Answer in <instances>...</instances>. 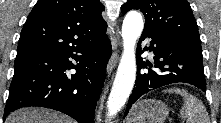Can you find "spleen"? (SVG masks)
<instances>
[{
    "label": "spleen",
    "instance_id": "obj_1",
    "mask_svg": "<svg viewBox=\"0 0 221 123\" xmlns=\"http://www.w3.org/2000/svg\"><path fill=\"white\" fill-rule=\"evenodd\" d=\"M164 92L176 93L183 97L184 103L180 110V117L186 120V123H210V118L203 102L187 90L170 88Z\"/></svg>",
    "mask_w": 221,
    "mask_h": 123
}]
</instances>
